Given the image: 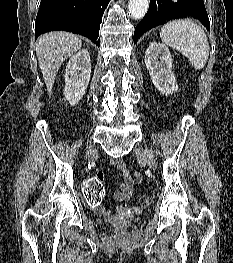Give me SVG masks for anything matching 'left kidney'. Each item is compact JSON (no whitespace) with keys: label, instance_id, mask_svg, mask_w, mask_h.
<instances>
[{"label":"left kidney","instance_id":"5707ae66","mask_svg":"<svg viewBox=\"0 0 233 263\" xmlns=\"http://www.w3.org/2000/svg\"><path fill=\"white\" fill-rule=\"evenodd\" d=\"M144 62L159 92L167 96L178 91L176 78L172 71V57L166 45L157 42L150 43Z\"/></svg>","mask_w":233,"mask_h":263}]
</instances>
